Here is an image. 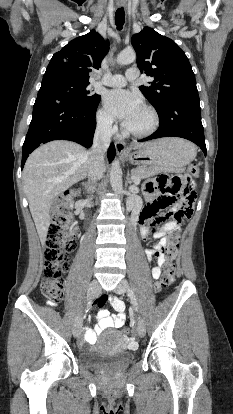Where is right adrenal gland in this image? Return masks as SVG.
<instances>
[{
	"label": "right adrenal gland",
	"instance_id": "2a0ac1e0",
	"mask_svg": "<svg viewBox=\"0 0 233 414\" xmlns=\"http://www.w3.org/2000/svg\"><path fill=\"white\" fill-rule=\"evenodd\" d=\"M82 184H83L85 190H87L88 192L93 191V190L96 189V183L95 182L88 181V182H83Z\"/></svg>",
	"mask_w": 233,
	"mask_h": 414
}]
</instances>
